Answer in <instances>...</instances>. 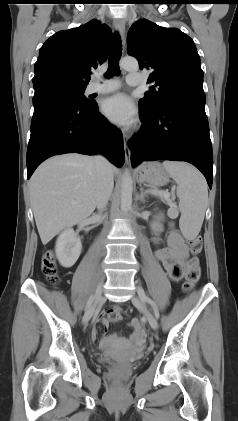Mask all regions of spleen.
Segmentation results:
<instances>
[{"label":"spleen","instance_id":"1","mask_svg":"<svg viewBox=\"0 0 238 421\" xmlns=\"http://www.w3.org/2000/svg\"><path fill=\"white\" fill-rule=\"evenodd\" d=\"M163 168L177 183L176 194L179 198V221L183 236L195 238L202 227L208 202V189L203 175L192 165L185 162H163Z\"/></svg>","mask_w":238,"mask_h":421}]
</instances>
